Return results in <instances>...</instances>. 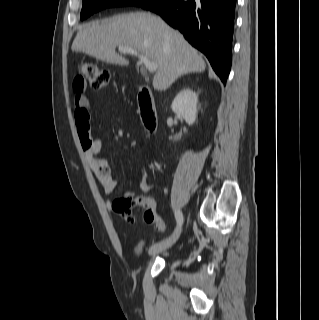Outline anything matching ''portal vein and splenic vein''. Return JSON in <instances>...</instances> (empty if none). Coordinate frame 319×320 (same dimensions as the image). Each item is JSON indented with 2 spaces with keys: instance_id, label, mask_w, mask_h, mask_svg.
Returning a JSON list of instances; mask_svg holds the SVG:
<instances>
[{
  "instance_id": "18ae733b",
  "label": "portal vein and splenic vein",
  "mask_w": 319,
  "mask_h": 320,
  "mask_svg": "<svg viewBox=\"0 0 319 320\" xmlns=\"http://www.w3.org/2000/svg\"><path fill=\"white\" fill-rule=\"evenodd\" d=\"M118 49H119L120 53H123V54L129 53L131 55L137 56L139 58L140 62L146 66V68L149 72H155L157 70V68H158L157 63L152 62L146 56L139 54L136 50H134L130 47H126V46H119Z\"/></svg>"
}]
</instances>
